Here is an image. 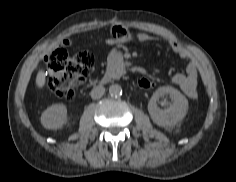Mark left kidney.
<instances>
[{
    "label": "left kidney",
    "instance_id": "5707ae66",
    "mask_svg": "<svg viewBox=\"0 0 236 182\" xmlns=\"http://www.w3.org/2000/svg\"><path fill=\"white\" fill-rule=\"evenodd\" d=\"M169 95L172 103L165 109L158 107L159 99ZM188 100L177 89L170 86L159 87L148 103V111L155 124L161 127H171L178 124L187 113Z\"/></svg>",
    "mask_w": 236,
    "mask_h": 182
}]
</instances>
